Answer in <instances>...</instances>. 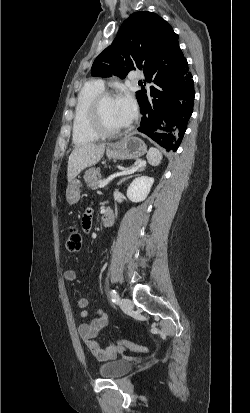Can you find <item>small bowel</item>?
Returning a JSON list of instances; mask_svg holds the SVG:
<instances>
[{"instance_id":"obj_1","label":"small bowel","mask_w":250,"mask_h":413,"mask_svg":"<svg viewBox=\"0 0 250 413\" xmlns=\"http://www.w3.org/2000/svg\"><path fill=\"white\" fill-rule=\"evenodd\" d=\"M83 228L82 233L87 236L91 227V211H87L82 220ZM78 271L69 269L64 272V278L68 281H73L77 278ZM88 300L86 298H78L75 302V306L81 310L80 316L84 319L89 318L90 312L87 309ZM108 324V316L102 311L98 310L96 316L91 320L79 325L78 333L82 341L91 354L101 361L114 359L117 355V348L113 344L105 347H101L96 342V337L99 332Z\"/></svg>"}]
</instances>
